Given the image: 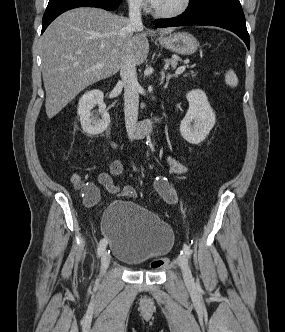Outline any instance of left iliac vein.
Listing matches in <instances>:
<instances>
[{"instance_id":"left-iliac-vein-1","label":"left iliac vein","mask_w":285,"mask_h":332,"mask_svg":"<svg viewBox=\"0 0 285 332\" xmlns=\"http://www.w3.org/2000/svg\"><path fill=\"white\" fill-rule=\"evenodd\" d=\"M178 265L180 266L183 274V278L187 284L193 283V277L191 274V270L188 264V258L185 254L179 255L177 258Z\"/></svg>"}]
</instances>
